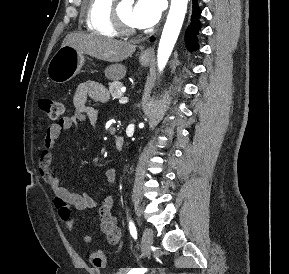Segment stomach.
<instances>
[{
    "instance_id": "stomach-1",
    "label": "stomach",
    "mask_w": 289,
    "mask_h": 274,
    "mask_svg": "<svg viewBox=\"0 0 289 274\" xmlns=\"http://www.w3.org/2000/svg\"><path fill=\"white\" fill-rule=\"evenodd\" d=\"M150 59L141 55L139 61L142 65H147ZM84 61V53L70 45L61 46L48 63L47 76L54 83L68 82L79 73Z\"/></svg>"
}]
</instances>
